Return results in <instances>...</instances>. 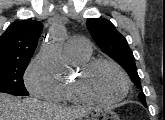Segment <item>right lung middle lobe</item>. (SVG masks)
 I'll use <instances>...</instances> for the list:
<instances>
[{"label": "right lung middle lobe", "mask_w": 165, "mask_h": 120, "mask_svg": "<svg viewBox=\"0 0 165 120\" xmlns=\"http://www.w3.org/2000/svg\"><path fill=\"white\" fill-rule=\"evenodd\" d=\"M30 59L0 60V92L16 96H28L23 82Z\"/></svg>", "instance_id": "right-lung-middle-lobe-1"}]
</instances>
